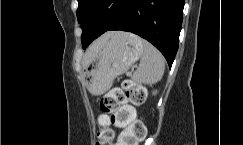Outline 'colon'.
Masks as SVG:
<instances>
[{"label":"colon","mask_w":243,"mask_h":145,"mask_svg":"<svg viewBox=\"0 0 243 145\" xmlns=\"http://www.w3.org/2000/svg\"><path fill=\"white\" fill-rule=\"evenodd\" d=\"M146 98L145 89L131 80L111 89L100 103L102 114L98 119L99 131L96 145H138L146 135L142 122L136 119L134 106H140ZM112 126L123 129L114 144L115 131Z\"/></svg>","instance_id":"5ec220e1"}]
</instances>
